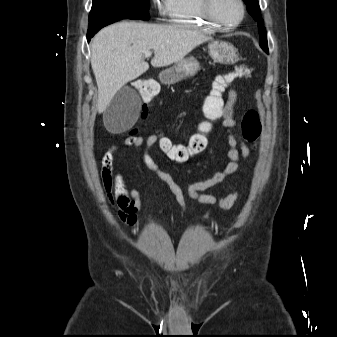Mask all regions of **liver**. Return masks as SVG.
<instances>
[{
	"instance_id": "obj_1",
	"label": "liver",
	"mask_w": 337,
	"mask_h": 337,
	"mask_svg": "<svg viewBox=\"0 0 337 337\" xmlns=\"http://www.w3.org/2000/svg\"><path fill=\"white\" fill-rule=\"evenodd\" d=\"M197 31L173 25L119 22L99 31L91 47V66L98 86V112L106 110L116 93L149 69L143 54L154 51L153 67L181 61L210 40Z\"/></svg>"
}]
</instances>
